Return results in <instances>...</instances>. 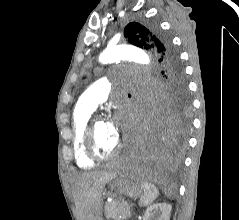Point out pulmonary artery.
<instances>
[{
	"instance_id": "pulmonary-artery-1",
	"label": "pulmonary artery",
	"mask_w": 239,
	"mask_h": 220,
	"mask_svg": "<svg viewBox=\"0 0 239 220\" xmlns=\"http://www.w3.org/2000/svg\"><path fill=\"white\" fill-rule=\"evenodd\" d=\"M110 92V83L101 78L90 85L80 96L79 103L95 110L99 104L107 100Z\"/></svg>"
}]
</instances>
